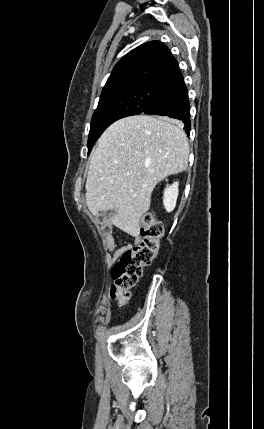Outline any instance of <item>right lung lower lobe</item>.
Returning <instances> with one entry per match:
<instances>
[{
    "label": "right lung lower lobe",
    "instance_id": "obj_1",
    "mask_svg": "<svg viewBox=\"0 0 264 429\" xmlns=\"http://www.w3.org/2000/svg\"><path fill=\"white\" fill-rule=\"evenodd\" d=\"M142 113L178 119L182 121L184 130L189 135L191 129L190 104L180 70H177L159 87Z\"/></svg>",
    "mask_w": 264,
    "mask_h": 429
}]
</instances>
